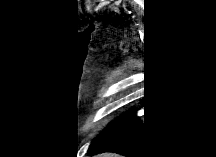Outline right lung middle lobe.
Here are the masks:
<instances>
[{
    "label": "right lung middle lobe",
    "instance_id": "obj_1",
    "mask_svg": "<svg viewBox=\"0 0 216 157\" xmlns=\"http://www.w3.org/2000/svg\"><path fill=\"white\" fill-rule=\"evenodd\" d=\"M128 108L115 120H113L101 133H99L91 142L90 146H94L99 143L104 137H106L109 133H111L120 123L122 118L125 116Z\"/></svg>",
    "mask_w": 216,
    "mask_h": 157
}]
</instances>
